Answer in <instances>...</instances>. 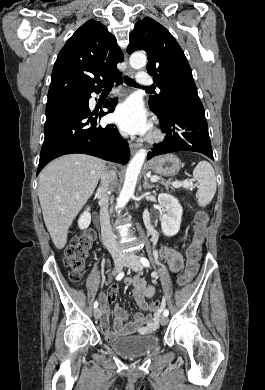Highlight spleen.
I'll return each instance as SVG.
<instances>
[{"instance_id": "spleen-1", "label": "spleen", "mask_w": 265, "mask_h": 390, "mask_svg": "<svg viewBox=\"0 0 265 390\" xmlns=\"http://www.w3.org/2000/svg\"><path fill=\"white\" fill-rule=\"evenodd\" d=\"M193 177L198 182L196 194L198 204L206 206L216 193V176L212 165L207 161L199 162L193 170Z\"/></svg>"}]
</instances>
